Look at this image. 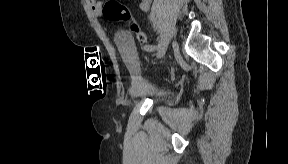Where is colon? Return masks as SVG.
Listing matches in <instances>:
<instances>
[{
    "label": "colon",
    "mask_w": 288,
    "mask_h": 164,
    "mask_svg": "<svg viewBox=\"0 0 288 164\" xmlns=\"http://www.w3.org/2000/svg\"><path fill=\"white\" fill-rule=\"evenodd\" d=\"M104 14L110 21H123L129 24L131 31L137 40L145 46L148 42L147 35L134 23L133 17L127 6L118 0H112L105 4Z\"/></svg>",
    "instance_id": "obj_1"
}]
</instances>
